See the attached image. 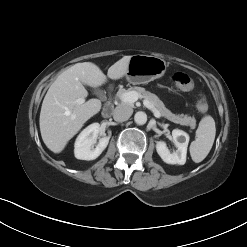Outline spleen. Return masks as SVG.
<instances>
[{
	"label": "spleen",
	"instance_id": "3e777b00",
	"mask_svg": "<svg viewBox=\"0 0 247 247\" xmlns=\"http://www.w3.org/2000/svg\"><path fill=\"white\" fill-rule=\"evenodd\" d=\"M216 135L215 121L207 115L203 117L196 130V138L190 145V155L195 163L203 161L209 154Z\"/></svg>",
	"mask_w": 247,
	"mask_h": 247
}]
</instances>
